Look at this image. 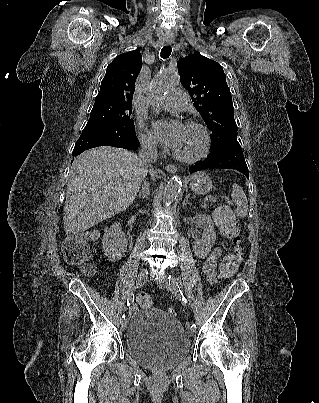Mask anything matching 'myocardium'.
<instances>
[{"label": "myocardium", "mask_w": 319, "mask_h": 403, "mask_svg": "<svg viewBox=\"0 0 319 403\" xmlns=\"http://www.w3.org/2000/svg\"><path fill=\"white\" fill-rule=\"evenodd\" d=\"M185 125L187 127H191V128H195L197 129L203 139V145H202V149L200 150V152L194 156H184L181 155L180 153H178L176 150H174V157L181 161V162H185V163H196L199 162L201 160H203L204 158L207 157V155L209 154L210 148H211V137H210V133L208 131V129L201 123L197 122V121H187L185 123Z\"/></svg>", "instance_id": "f54148a6"}]
</instances>
